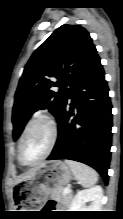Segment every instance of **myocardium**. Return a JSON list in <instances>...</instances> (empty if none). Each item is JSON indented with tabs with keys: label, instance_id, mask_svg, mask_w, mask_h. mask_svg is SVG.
<instances>
[{
	"label": "myocardium",
	"instance_id": "obj_1",
	"mask_svg": "<svg viewBox=\"0 0 123 219\" xmlns=\"http://www.w3.org/2000/svg\"><path fill=\"white\" fill-rule=\"evenodd\" d=\"M38 123H43L48 127L49 132H50V139H49L47 149H46L45 153L43 154V156L40 159H38L37 161L29 163V162H26L23 158V154H22L23 142H24L26 135L30 131V129L35 124H38ZM57 136H58L57 125H56L55 121L50 116H48L46 114H38V115L34 116L32 119H30V121L25 126L23 133H22L20 140H19L18 157H19L20 162L25 166H35V165L41 163L42 161H44L52 152V150L56 144V141H57Z\"/></svg>",
	"mask_w": 123,
	"mask_h": 219
}]
</instances>
